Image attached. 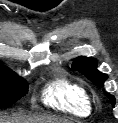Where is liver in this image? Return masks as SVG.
<instances>
[{"label":"liver","instance_id":"6515ba94","mask_svg":"<svg viewBox=\"0 0 118 123\" xmlns=\"http://www.w3.org/2000/svg\"><path fill=\"white\" fill-rule=\"evenodd\" d=\"M0 123H71L69 120L49 115L23 116L14 114L10 117L0 116Z\"/></svg>","mask_w":118,"mask_h":123}]
</instances>
